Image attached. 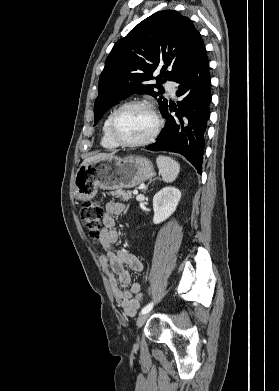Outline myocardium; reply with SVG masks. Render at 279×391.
Wrapping results in <instances>:
<instances>
[{"label":"myocardium","mask_w":279,"mask_h":391,"mask_svg":"<svg viewBox=\"0 0 279 391\" xmlns=\"http://www.w3.org/2000/svg\"><path fill=\"white\" fill-rule=\"evenodd\" d=\"M128 107H143V108L148 109L150 111V113L152 114V116L155 120V126L147 138L140 140V141L130 142V141L122 140L116 134L115 122H116L117 116L119 115V113L122 110H124ZM162 125H163L162 119H161L160 115L158 114L157 110L155 109L154 105L151 102H149L147 100H131V101L123 103L122 105H120L118 108H116L112 112L110 119H109L108 133H109V136L112 139V141L115 142L119 146L132 147V148L142 147V146H146V145L152 143L156 139V137L158 136V134L162 128Z\"/></svg>","instance_id":"obj_1"}]
</instances>
